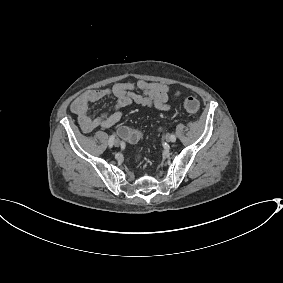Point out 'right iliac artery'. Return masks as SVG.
Listing matches in <instances>:
<instances>
[{
  "mask_svg": "<svg viewBox=\"0 0 283 283\" xmlns=\"http://www.w3.org/2000/svg\"><path fill=\"white\" fill-rule=\"evenodd\" d=\"M114 140H115V135H111L110 138H109V141H108V145H109L110 148L113 147Z\"/></svg>",
  "mask_w": 283,
  "mask_h": 283,
  "instance_id": "obj_1",
  "label": "right iliac artery"
}]
</instances>
